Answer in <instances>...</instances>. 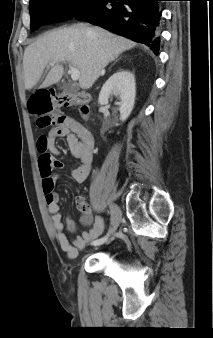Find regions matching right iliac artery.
<instances>
[{
  "label": "right iliac artery",
  "mask_w": 213,
  "mask_h": 338,
  "mask_svg": "<svg viewBox=\"0 0 213 338\" xmlns=\"http://www.w3.org/2000/svg\"><path fill=\"white\" fill-rule=\"evenodd\" d=\"M108 239V236L102 237L100 239L94 240L91 244L94 246L103 244Z\"/></svg>",
  "instance_id": "1"
}]
</instances>
